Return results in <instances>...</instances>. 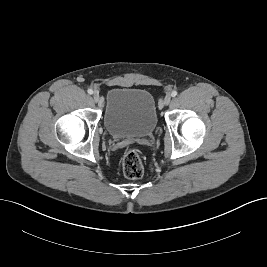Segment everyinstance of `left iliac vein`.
Masks as SVG:
<instances>
[{"label":"left iliac vein","instance_id":"1","mask_svg":"<svg viewBox=\"0 0 267 267\" xmlns=\"http://www.w3.org/2000/svg\"><path fill=\"white\" fill-rule=\"evenodd\" d=\"M171 101V96L170 95H166L164 98V105H168Z\"/></svg>","mask_w":267,"mask_h":267}]
</instances>
